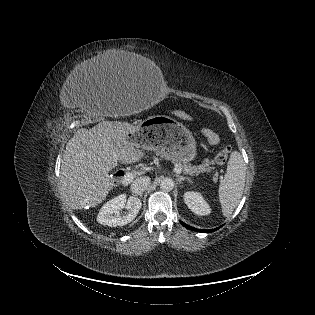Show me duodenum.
I'll return each instance as SVG.
<instances>
[{"instance_id": "obj_1", "label": "duodenum", "mask_w": 315, "mask_h": 315, "mask_svg": "<svg viewBox=\"0 0 315 315\" xmlns=\"http://www.w3.org/2000/svg\"><path fill=\"white\" fill-rule=\"evenodd\" d=\"M124 176H125V172L122 170H117L113 174V177L115 180H121Z\"/></svg>"}]
</instances>
